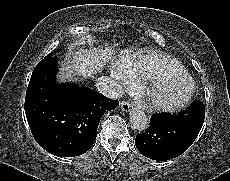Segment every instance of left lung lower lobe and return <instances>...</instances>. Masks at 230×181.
<instances>
[{
	"label": "left lung lower lobe",
	"mask_w": 230,
	"mask_h": 181,
	"mask_svg": "<svg viewBox=\"0 0 230 181\" xmlns=\"http://www.w3.org/2000/svg\"><path fill=\"white\" fill-rule=\"evenodd\" d=\"M205 118V107L194 101L177 115L154 114L145 133L137 134L138 151L153 160L165 161L185 152L198 136Z\"/></svg>",
	"instance_id": "obj_1"
}]
</instances>
